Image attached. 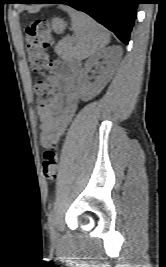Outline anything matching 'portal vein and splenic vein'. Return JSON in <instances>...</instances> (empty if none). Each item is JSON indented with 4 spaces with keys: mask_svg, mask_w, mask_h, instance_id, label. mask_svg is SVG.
<instances>
[{
    "mask_svg": "<svg viewBox=\"0 0 166 267\" xmlns=\"http://www.w3.org/2000/svg\"><path fill=\"white\" fill-rule=\"evenodd\" d=\"M67 40H69L70 42L72 41L71 39H67Z\"/></svg>",
    "mask_w": 166,
    "mask_h": 267,
    "instance_id": "18ae733b",
    "label": "portal vein and splenic vein"
}]
</instances>
